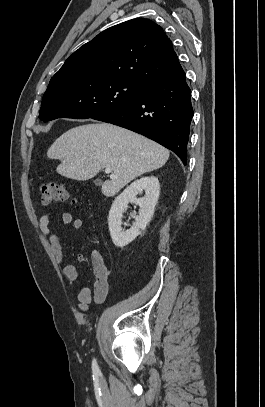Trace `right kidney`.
<instances>
[{"mask_svg":"<svg viewBox=\"0 0 265 407\" xmlns=\"http://www.w3.org/2000/svg\"><path fill=\"white\" fill-rule=\"evenodd\" d=\"M145 191V197L137 198V194ZM160 194L157 177H143L128 186L113 202L108 216L109 231L112 241L117 247H124L131 243L150 222ZM140 206L139 215L130 229L123 231L122 217L128 204Z\"/></svg>","mask_w":265,"mask_h":407,"instance_id":"ca27d5eb","label":"right kidney"}]
</instances>
